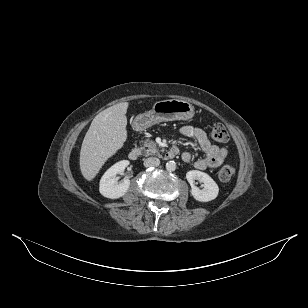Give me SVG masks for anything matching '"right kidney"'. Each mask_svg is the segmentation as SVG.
I'll return each mask as SVG.
<instances>
[{
    "label": "right kidney",
    "mask_w": 308,
    "mask_h": 308,
    "mask_svg": "<svg viewBox=\"0 0 308 308\" xmlns=\"http://www.w3.org/2000/svg\"><path fill=\"white\" fill-rule=\"evenodd\" d=\"M129 165L128 160H122L111 166L100 180V193L110 199H117L126 194L130 186V180L124 179L121 183L117 184L116 175L122 172Z\"/></svg>",
    "instance_id": "1"
}]
</instances>
